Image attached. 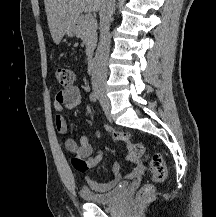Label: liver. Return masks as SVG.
<instances>
[{"instance_id": "obj_1", "label": "liver", "mask_w": 216, "mask_h": 217, "mask_svg": "<svg viewBox=\"0 0 216 217\" xmlns=\"http://www.w3.org/2000/svg\"><path fill=\"white\" fill-rule=\"evenodd\" d=\"M104 0H44L48 26L55 44L74 26L83 11H99Z\"/></svg>"}]
</instances>
